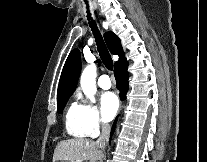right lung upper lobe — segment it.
<instances>
[{
    "label": "right lung upper lobe",
    "mask_w": 207,
    "mask_h": 162,
    "mask_svg": "<svg viewBox=\"0 0 207 162\" xmlns=\"http://www.w3.org/2000/svg\"><path fill=\"white\" fill-rule=\"evenodd\" d=\"M104 38L110 52L119 56V61L115 63V68L125 63L126 60L119 38L112 32L106 33ZM80 70V53L77 49H74L70 52L63 67L57 92V100L73 94Z\"/></svg>",
    "instance_id": "cb5924a9"
}]
</instances>
